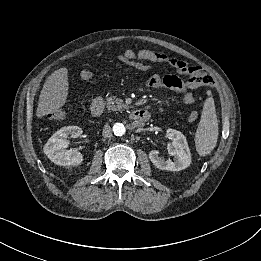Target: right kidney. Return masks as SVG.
<instances>
[{"label":"right kidney","mask_w":261,"mask_h":261,"mask_svg":"<svg viewBox=\"0 0 261 261\" xmlns=\"http://www.w3.org/2000/svg\"><path fill=\"white\" fill-rule=\"evenodd\" d=\"M82 129L78 126L63 127L54 133L44 146V153L55 164L60 166H75L83 161L82 154L77 150L69 149L67 138L81 136Z\"/></svg>","instance_id":"obj_1"}]
</instances>
